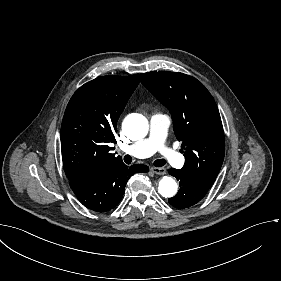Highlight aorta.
Instances as JSON below:
<instances>
[{
    "instance_id": "762f6f07",
    "label": "aorta",
    "mask_w": 281,
    "mask_h": 281,
    "mask_svg": "<svg viewBox=\"0 0 281 281\" xmlns=\"http://www.w3.org/2000/svg\"><path fill=\"white\" fill-rule=\"evenodd\" d=\"M123 129L130 138L138 140L147 135L149 124L143 115L131 114L125 119ZM177 188V183L172 177L164 176L159 181V193L165 198L173 197L177 193Z\"/></svg>"
}]
</instances>
